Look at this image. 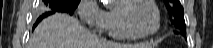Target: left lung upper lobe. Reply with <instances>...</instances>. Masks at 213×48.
Instances as JSON below:
<instances>
[{
    "mask_svg": "<svg viewBox=\"0 0 213 48\" xmlns=\"http://www.w3.org/2000/svg\"><path fill=\"white\" fill-rule=\"evenodd\" d=\"M166 7L169 10L172 23L186 33L185 20L183 17V7L179 0H165Z\"/></svg>",
    "mask_w": 213,
    "mask_h": 48,
    "instance_id": "obj_1",
    "label": "left lung upper lobe"
}]
</instances>
